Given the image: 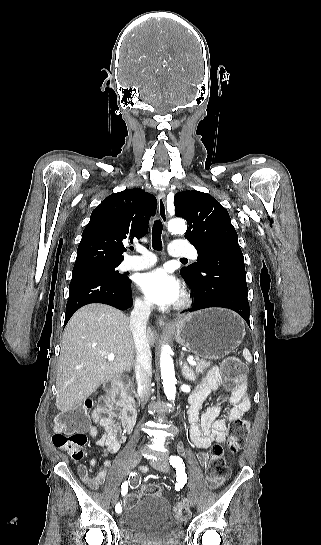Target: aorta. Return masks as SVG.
<instances>
[{
  "mask_svg": "<svg viewBox=\"0 0 321 545\" xmlns=\"http://www.w3.org/2000/svg\"><path fill=\"white\" fill-rule=\"evenodd\" d=\"M185 222L181 219H172L168 222V230L173 234H184L186 232ZM171 348L165 345L160 356L161 378L163 379L164 392L168 400H175L176 378L173 359L170 356Z\"/></svg>",
  "mask_w": 321,
  "mask_h": 545,
  "instance_id": "aorta-1",
  "label": "aorta"
}]
</instances>
